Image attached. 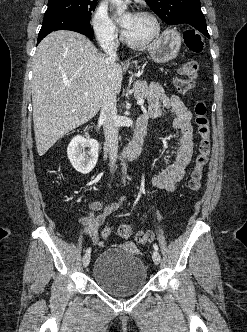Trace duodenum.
I'll list each match as a JSON object with an SVG mask.
<instances>
[{
    "mask_svg": "<svg viewBox=\"0 0 247 332\" xmlns=\"http://www.w3.org/2000/svg\"><path fill=\"white\" fill-rule=\"evenodd\" d=\"M148 118L142 115L137 121V133L131 143L121 152V158L132 159L137 157L143 150L147 135Z\"/></svg>",
    "mask_w": 247,
    "mask_h": 332,
    "instance_id": "410a0bca",
    "label": "duodenum"
}]
</instances>
